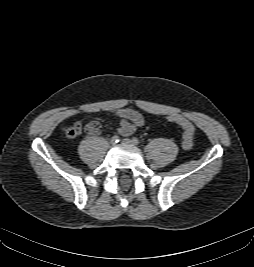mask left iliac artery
Wrapping results in <instances>:
<instances>
[{
    "label": "left iliac artery",
    "mask_w": 254,
    "mask_h": 267,
    "mask_svg": "<svg viewBox=\"0 0 254 267\" xmlns=\"http://www.w3.org/2000/svg\"><path fill=\"white\" fill-rule=\"evenodd\" d=\"M132 141H133V143L135 144V145H138L140 142H139V140L136 138V137H134L133 139H132Z\"/></svg>",
    "instance_id": "obj_1"
}]
</instances>
